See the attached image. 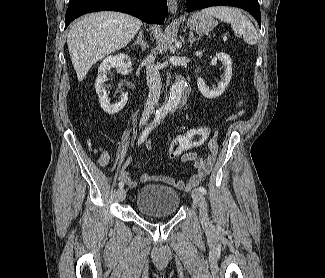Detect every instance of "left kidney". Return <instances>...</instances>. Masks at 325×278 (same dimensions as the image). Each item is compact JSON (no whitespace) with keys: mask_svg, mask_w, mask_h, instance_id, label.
I'll list each match as a JSON object with an SVG mask.
<instances>
[{"mask_svg":"<svg viewBox=\"0 0 325 278\" xmlns=\"http://www.w3.org/2000/svg\"><path fill=\"white\" fill-rule=\"evenodd\" d=\"M217 57L223 63L224 66V77L222 81L218 83V86L211 89L206 86L202 78H198L197 80L199 91L202 93L204 97L210 99L217 98L225 91L232 76V61L230 56L225 53H218Z\"/></svg>","mask_w":325,"mask_h":278,"instance_id":"left-kidney-1","label":"left kidney"}]
</instances>
